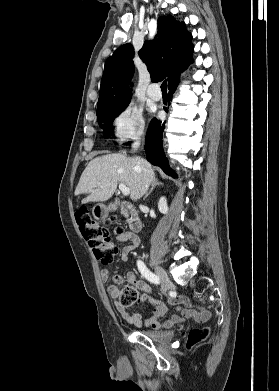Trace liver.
I'll return each mask as SVG.
<instances>
[{"label": "liver", "mask_w": 279, "mask_h": 391, "mask_svg": "<svg viewBox=\"0 0 279 391\" xmlns=\"http://www.w3.org/2000/svg\"><path fill=\"white\" fill-rule=\"evenodd\" d=\"M154 180V169L144 158L122 154L102 155L88 163L75 195L89 194L84 202H103L114 194L118 183H123L130 189V198L138 200Z\"/></svg>", "instance_id": "6515ba94"}]
</instances>
